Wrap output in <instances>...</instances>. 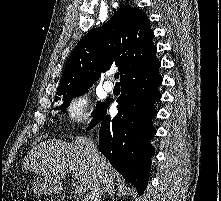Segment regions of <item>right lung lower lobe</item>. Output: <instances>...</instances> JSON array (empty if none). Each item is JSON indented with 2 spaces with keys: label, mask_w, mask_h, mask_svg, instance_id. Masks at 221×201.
<instances>
[{
  "label": "right lung lower lobe",
  "mask_w": 221,
  "mask_h": 201,
  "mask_svg": "<svg viewBox=\"0 0 221 201\" xmlns=\"http://www.w3.org/2000/svg\"><path fill=\"white\" fill-rule=\"evenodd\" d=\"M160 66L158 61L148 70L124 79L122 94L117 99L118 114L113 118L106 115V108L111 102L108 100L93 125L101 123L99 150L136 187L139 195L146 188L151 157L155 153L150 144L156 134L151 120L157 115L154 104L161 98L158 91L163 80L158 73Z\"/></svg>",
  "instance_id": "right-lung-lower-lobe-1"
}]
</instances>
